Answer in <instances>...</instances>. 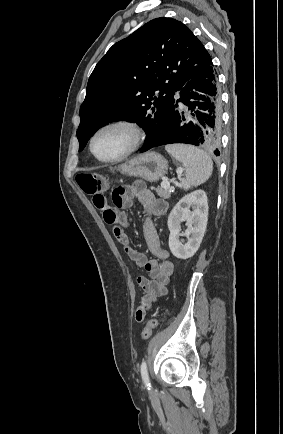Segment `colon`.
I'll list each match as a JSON object with an SVG mask.
<instances>
[{"instance_id":"obj_1","label":"colon","mask_w":283,"mask_h":434,"mask_svg":"<svg viewBox=\"0 0 283 434\" xmlns=\"http://www.w3.org/2000/svg\"><path fill=\"white\" fill-rule=\"evenodd\" d=\"M76 181L81 190L90 196L102 192L105 187V180L103 176L98 173H80L77 175ZM156 325V318L149 319L141 332V338L144 340L150 338Z\"/></svg>"}]
</instances>
